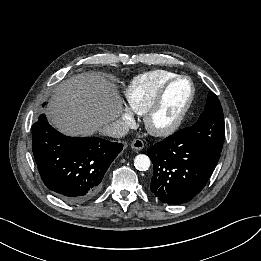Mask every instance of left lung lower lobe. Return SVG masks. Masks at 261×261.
<instances>
[{"instance_id":"0a47b994","label":"left lung lower lobe","mask_w":261,"mask_h":261,"mask_svg":"<svg viewBox=\"0 0 261 261\" xmlns=\"http://www.w3.org/2000/svg\"><path fill=\"white\" fill-rule=\"evenodd\" d=\"M194 138L192 127L184 128L147 151L154 166L150 189L165 204L193 199L218 163L220 152L198 145Z\"/></svg>"}]
</instances>
